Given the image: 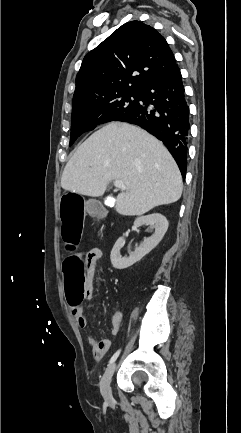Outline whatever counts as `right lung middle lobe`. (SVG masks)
<instances>
[{
  "label": "right lung middle lobe",
  "mask_w": 241,
  "mask_h": 433,
  "mask_svg": "<svg viewBox=\"0 0 241 433\" xmlns=\"http://www.w3.org/2000/svg\"><path fill=\"white\" fill-rule=\"evenodd\" d=\"M140 101L139 91H125L100 99L73 104L70 146L84 132L96 125L119 121L130 114Z\"/></svg>",
  "instance_id": "right-lung-middle-lobe-1"
}]
</instances>
